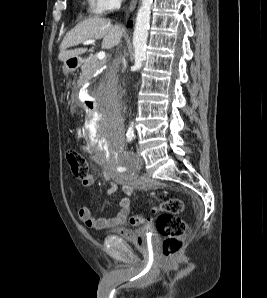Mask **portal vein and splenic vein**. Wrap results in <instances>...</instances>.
<instances>
[{"instance_id": "18ae733b", "label": "portal vein and splenic vein", "mask_w": 267, "mask_h": 298, "mask_svg": "<svg viewBox=\"0 0 267 298\" xmlns=\"http://www.w3.org/2000/svg\"><path fill=\"white\" fill-rule=\"evenodd\" d=\"M94 42H95V40H94V39H91V40L84 41L83 44H84V45H89V44H92V43H94ZM97 58H98L99 60H103V59L105 58V52H104V51L99 52V53L97 54Z\"/></svg>"}]
</instances>
